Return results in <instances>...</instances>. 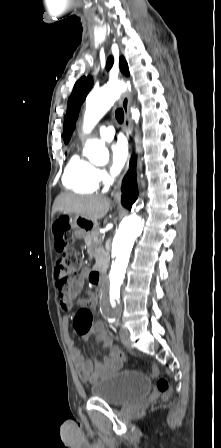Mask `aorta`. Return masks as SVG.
<instances>
[{
    "label": "aorta",
    "instance_id": "1",
    "mask_svg": "<svg viewBox=\"0 0 221 448\" xmlns=\"http://www.w3.org/2000/svg\"><path fill=\"white\" fill-rule=\"evenodd\" d=\"M126 89L123 82L108 83L93 91L86 100L83 129L89 132ZM84 155L90 162L103 165L108 162L109 152L105 144L98 140H87ZM144 221L137 215H129L120 224L112 242L114 260L109 273V282L104 289L109 308H114L120 297V288L128 265L130 253L136 238L141 234Z\"/></svg>",
    "mask_w": 221,
    "mask_h": 448
}]
</instances>
